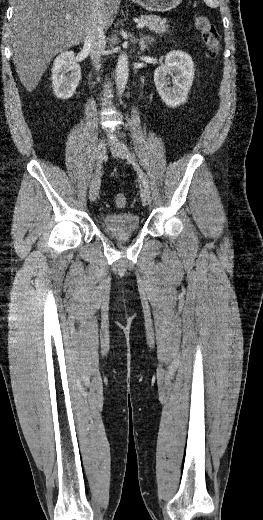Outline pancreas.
Instances as JSON below:
<instances>
[{"label": "pancreas", "instance_id": "obj_1", "mask_svg": "<svg viewBox=\"0 0 263 520\" xmlns=\"http://www.w3.org/2000/svg\"><path fill=\"white\" fill-rule=\"evenodd\" d=\"M139 22H146L145 27L156 33H164L169 28L167 20L156 15H142Z\"/></svg>", "mask_w": 263, "mask_h": 520}]
</instances>
